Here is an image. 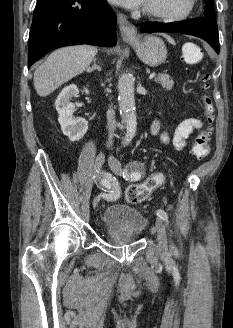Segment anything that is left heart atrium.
Listing matches in <instances>:
<instances>
[{
	"label": "left heart atrium",
	"mask_w": 233,
	"mask_h": 328,
	"mask_svg": "<svg viewBox=\"0 0 233 328\" xmlns=\"http://www.w3.org/2000/svg\"><path fill=\"white\" fill-rule=\"evenodd\" d=\"M114 4H118L130 9H136L145 6L147 0H109Z\"/></svg>",
	"instance_id": "left-heart-atrium-1"
}]
</instances>
